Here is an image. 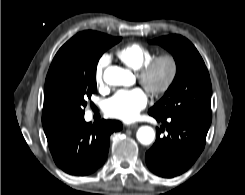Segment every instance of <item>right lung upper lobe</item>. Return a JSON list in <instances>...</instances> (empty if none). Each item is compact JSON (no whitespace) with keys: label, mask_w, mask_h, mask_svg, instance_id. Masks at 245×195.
Returning <instances> with one entry per match:
<instances>
[{"label":"right lung upper lobe","mask_w":245,"mask_h":195,"mask_svg":"<svg viewBox=\"0 0 245 195\" xmlns=\"http://www.w3.org/2000/svg\"><path fill=\"white\" fill-rule=\"evenodd\" d=\"M102 33L95 31H83L75 35L72 39L76 38H96L100 36ZM68 121L56 107V105L51 100L50 96L44 91V106L42 113V124L44 132L47 135H50L60 128H62Z\"/></svg>","instance_id":"right-lung-upper-lobe-1"}]
</instances>
